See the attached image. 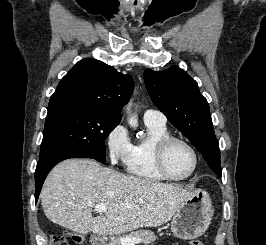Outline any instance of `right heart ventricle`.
Returning <instances> with one entry per match:
<instances>
[{"instance_id":"e07e8e85","label":"right heart ventricle","mask_w":266,"mask_h":245,"mask_svg":"<svg viewBox=\"0 0 266 245\" xmlns=\"http://www.w3.org/2000/svg\"><path fill=\"white\" fill-rule=\"evenodd\" d=\"M149 136L134 145L129 163V173L135 178L149 184H159L167 181L158 171L154 148L157 142L170 135L167 124L159 122H145Z\"/></svg>"}]
</instances>
